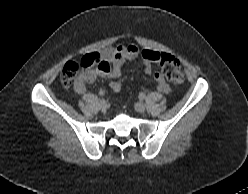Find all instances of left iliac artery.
Instances as JSON below:
<instances>
[{
	"mask_svg": "<svg viewBox=\"0 0 248 194\" xmlns=\"http://www.w3.org/2000/svg\"><path fill=\"white\" fill-rule=\"evenodd\" d=\"M145 98H146L145 93H140V94H139V99H140V100H144Z\"/></svg>",
	"mask_w": 248,
	"mask_h": 194,
	"instance_id": "left-iliac-artery-1",
	"label": "left iliac artery"
}]
</instances>
